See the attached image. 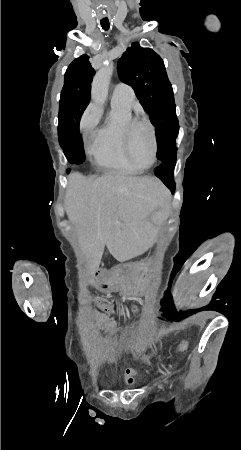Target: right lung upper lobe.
Masks as SVG:
<instances>
[{
    "label": "right lung upper lobe",
    "mask_w": 241,
    "mask_h": 450,
    "mask_svg": "<svg viewBox=\"0 0 241 450\" xmlns=\"http://www.w3.org/2000/svg\"><path fill=\"white\" fill-rule=\"evenodd\" d=\"M95 71L91 67L89 57L85 54L75 59L67 68L64 81H68L80 76L94 75Z\"/></svg>",
    "instance_id": "cb5924a9"
}]
</instances>
